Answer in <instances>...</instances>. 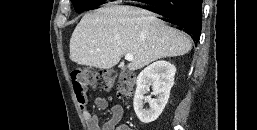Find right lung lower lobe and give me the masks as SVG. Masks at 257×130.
Wrapping results in <instances>:
<instances>
[{
  "label": "right lung lower lobe",
  "mask_w": 257,
  "mask_h": 130,
  "mask_svg": "<svg viewBox=\"0 0 257 130\" xmlns=\"http://www.w3.org/2000/svg\"><path fill=\"white\" fill-rule=\"evenodd\" d=\"M203 0H169L152 4L158 8L161 19L189 34L195 43L199 42L202 26Z\"/></svg>",
  "instance_id": "right-lung-lower-lobe-1"
}]
</instances>
